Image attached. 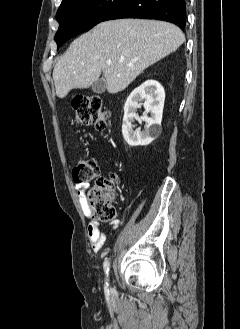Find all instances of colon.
<instances>
[{"label":"colon","mask_w":240,"mask_h":329,"mask_svg":"<svg viewBox=\"0 0 240 329\" xmlns=\"http://www.w3.org/2000/svg\"><path fill=\"white\" fill-rule=\"evenodd\" d=\"M75 123L79 127L95 126L104 130L106 112L99 96H80L74 99ZM97 162L92 157L79 159L72 171L76 184L94 181V186L87 191L86 203L93 218L99 222H110L116 217L114 192L118 179L115 175L99 176Z\"/></svg>","instance_id":"obj_1"}]
</instances>
